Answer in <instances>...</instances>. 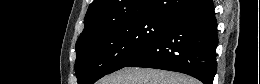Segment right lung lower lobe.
Segmentation results:
<instances>
[{"instance_id": "right-lung-lower-lobe-1", "label": "right lung lower lobe", "mask_w": 260, "mask_h": 84, "mask_svg": "<svg viewBox=\"0 0 260 84\" xmlns=\"http://www.w3.org/2000/svg\"><path fill=\"white\" fill-rule=\"evenodd\" d=\"M217 44L213 2L199 0L173 16L152 45L126 67L176 71L213 84Z\"/></svg>"}]
</instances>
